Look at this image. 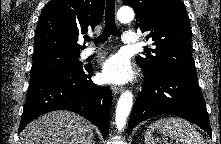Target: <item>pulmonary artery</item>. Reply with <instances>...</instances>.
Returning <instances> with one entry per match:
<instances>
[{
    "mask_svg": "<svg viewBox=\"0 0 221 144\" xmlns=\"http://www.w3.org/2000/svg\"><path fill=\"white\" fill-rule=\"evenodd\" d=\"M122 41H123V43L128 44V45H135L138 42V38L134 32L126 31L123 33ZM98 51H99V49L86 48L82 51L81 55H82V57L86 58V57H89V56L97 53Z\"/></svg>",
    "mask_w": 221,
    "mask_h": 144,
    "instance_id": "e3ab8cb5",
    "label": "pulmonary artery"
}]
</instances>
